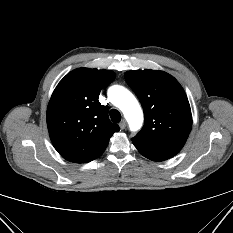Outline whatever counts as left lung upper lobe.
Returning a JSON list of instances; mask_svg holds the SVG:
<instances>
[{
    "instance_id": "left-lung-upper-lobe-1",
    "label": "left lung upper lobe",
    "mask_w": 233,
    "mask_h": 233,
    "mask_svg": "<svg viewBox=\"0 0 233 233\" xmlns=\"http://www.w3.org/2000/svg\"><path fill=\"white\" fill-rule=\"evenodd\" d=\"M125 79L145 114V124L132 138L133 144L179 152L192 127L190 105L181 85L173 76L158 70L128 71Z\"/></svg>"
}]
</instances>
